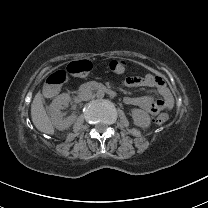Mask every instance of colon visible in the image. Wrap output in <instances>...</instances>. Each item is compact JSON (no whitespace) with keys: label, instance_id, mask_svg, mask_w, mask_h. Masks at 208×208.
Here are the masks:
<instances>
[{"label":"colon","instance_id":"obj_1","mask_svg":"<svg viewBox=\"0 0 208 208\" xmlns=\"http://www.w3.org/2000/svg\"><path fill=\"white\" fill-rule=\"evenodd\" d=\"M90 69L91 66L87 62L78 64L75 66V68H73L72 64H69L67 66V72L69 74H73L75 71L76 74L81 75L83 73L89 72ZM109 69L111 72L115 74H123L127 69V64L123 59H114L110 62ZM167 121H168V115L166 113L159 114L154 118V123L159 126L164 125Z\"/></svg>","mask_w":208,"mask_h":208}]
</instances>
